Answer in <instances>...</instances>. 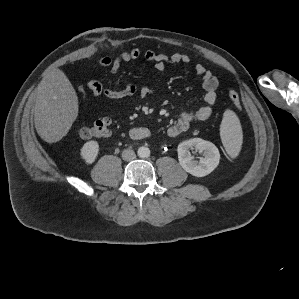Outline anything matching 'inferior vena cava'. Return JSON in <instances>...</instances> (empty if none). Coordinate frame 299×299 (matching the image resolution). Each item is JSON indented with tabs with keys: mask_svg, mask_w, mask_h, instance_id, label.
<instances>
[{
	"mask_svg": "<svg viewBox=\"0 0 299 299\" xmlns=\"http://www.w3.org/2000/svg\"><path fill=\"white\" fill-rule=\"evenodd\" d=\"M122 158L125 161H131V160H134L136 158V154L133 150L125 149L122 152Z\"/></svg>",
	"mask_w": 299,
	"mask_h": 299,
	"instance_id": "602c4592",
	"label": "inferior vena cava"
}]
</instances>
